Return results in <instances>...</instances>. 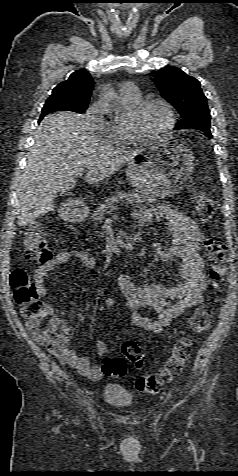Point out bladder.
I'll use <instances>...</instances> for the list:
<instances>
[{
  "instance_id": "bladder-1",
  "label": "bladder",
  "mask_w": 238,
  "mask_h": 476,
  "mask_svg": "<svg viewBox=\"0 0 238 476\" xmlns=\"http://www.w3.org/2000/svg\"><path fill=\"white\" fill-rule=\"evenodd\" d=\"M103 399L109 405L121 408L129 406L133 401V396L124 387L109 384L103 390Z\"/></svg>"
}]
</instances>
